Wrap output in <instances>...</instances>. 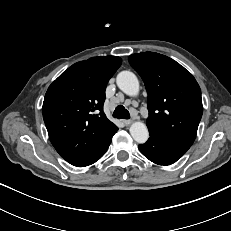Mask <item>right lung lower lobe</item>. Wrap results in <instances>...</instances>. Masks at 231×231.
<instances>
[{"label": "right lung lower lobe", "instance_id": "obj_1", "mask_svg": "<svg viewBox=\"0 0 231 231\" xmlns=\"http://www.w3.org/2000/svg\"><path fill=\"white\" fill-rule=\"evenodd\" d=\"M106 150H107V149H106ZM106 150L102 152V154L99 156L98 159H100V158L104 155V153L106 152Z\"/></svg>", "mask_w": 231, "mask_h": 231}]
</instances>
